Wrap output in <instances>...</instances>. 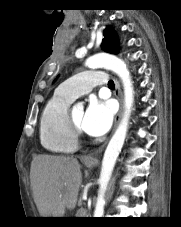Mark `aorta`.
<instances>
[{"label": "aorta", "mask_w": 181, "mask_h": 227, "mask_svg": "<svg viewBox=\"0 0 181 227\" xmlns=\"http://www.w3.org/2000/svg\"><path fill=\"white\" fill-rule=\"evenodd\" d=\"M86 66L90 68L105 67L112 70L121 79L124 89V113L105 150L102 160V169L99 179L100 188L94 211V217H102L105 206V190L126 138L128 123L134 103V90L127 66L118 57L105 53L96 54L86 61Z\"/></svg>", "instance_id": "1"}]
</instances>
